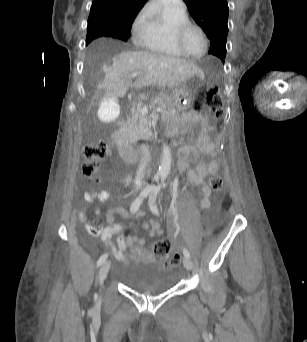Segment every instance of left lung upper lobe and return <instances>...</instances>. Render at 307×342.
Listing matches in <instances>:
<instances>
[{"mask_svg": "<svg viewBox=\"0 0 307 342\" xmlns=\"http://www.w3.org/2000/svg\"><path fill=\"white\" fill-rule=\"evenodd\" d=\"M195 22L210 39L209 53L222 62L226 56L229 8L226 0H184Z\"/></svg>", "mask_w": 307, "mask_h": 342, "instance_id": "left-lung-upper-lobe-1", "label": "left lung upper lobe"}]
</instances>
